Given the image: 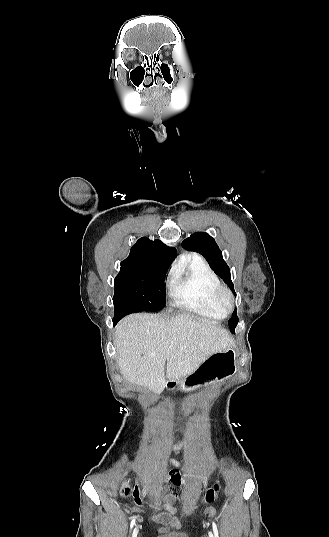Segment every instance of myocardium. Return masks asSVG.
<instances>
[{"mask_svg":"<svg viewBox=\"0 0 329 537\" xmlns=\"http://www.w3.org/2000/svg\"><path fill=\"white\" fill-rule=\"evenodd\" d=\"M214 300L217 307L224 313H230L235 309V297L232 291L224 286H220L214 292Z\"/></svg>","mask_w":329,"mask_h":537,"instance_id":"myocardium-1","label":"myocardium"}]
</instances>
